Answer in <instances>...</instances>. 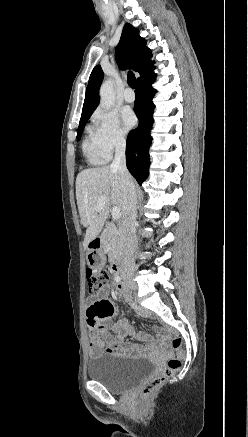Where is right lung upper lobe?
Segmentation results:
<instances>
[{
    "label": "right lung upper lobe",
    "mask_w": 248,
    "mask_h": 437,
    "mask_svg": "<svg viewBox=\"0 0 248 437\" xmlns=\"http://www.w3.org/2000/svg\"><path fill=\"white\" fill-rule=\"evenodd\" d=\"M115 53L116 61L121 69L129 67L140 74L137 80L154 68V61L150 60L152 53L151 50L146 47V40L140 37L138 29L129 23H126L123 28L121 39L115 49ZM103 77L104 73L102 68L100 65H97L89 78L80 121L91 116L98 106L100 101L99 88Z\"/></svg>",
    "instance_id": "cb5924a9"
}]
</instances>
